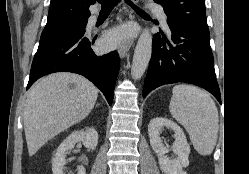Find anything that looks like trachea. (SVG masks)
<instances>
[{"instance_id":"trachea-1","label":"trachea","mask_w":249,"mask_h":174,"mask_svg":"<svg viewBox=\"0 0 249 174\" xmlns=\"http://www.w3.org/2000/svg\"><path fill=\"white\" fill-rule=\"evenodd\" d=\"M98 2L102 6V10H112L115 5L118 3V0H98ZM126 2L137 12L140 14H147L142 9L138 8L136 5H134L130 0H126Z\"/></svg>"}]
</instances>
